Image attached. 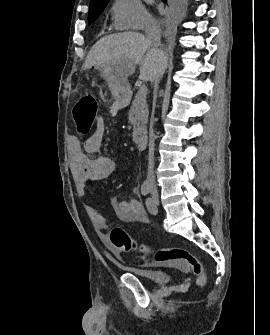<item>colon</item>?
Segmentation results:
<instances>
[{
  "mask_svg": "<svg viewBox=\"0 0 270 335\" xmlns=\"http://www.w3.org/2000/svg\"><path fill=\"white\" fill-rule=\"evenodd\" d=\"M77 110H72V117L77 125L78 134H88L92 129L98 112V104L94 97L85 96L77 104ZM110 238L117 251L129 253L139 249L150 255V259L158 264H172L180 269L189 270L195 278L197 287H203L206 277L200 259L185 248H153L142 245L137 246L136 241L123 229L113 228Z\"/></svg>",
  "mask_w": 270,
  "mask_h": 335,
  "instance_id": "colon-1",
  "label": "colon"
}]
</instances>
